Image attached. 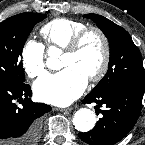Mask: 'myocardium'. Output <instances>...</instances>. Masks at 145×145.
<instances>
[{"label":"myocardium","instance_id":"obj_1","mask_svg":"<svg viewBox=\"0 0 145 145\" xmlns=\"http://www.w3.org/2000/svg\"><path fill=\"white\" fill-rule=\"evenodd\" d=\"M91 33L96 34L100 38L103 47V56H102L101 65L98 71L94 75L88 78L90 82L96 83L102 80L106 75L111 60V48H110L109 39L99 27L87 26L81 29L71 38L67 46L64 48V52L66 53L76 52L81 46L83 40Z\"/></svg>","mask_w":145,"mask_h":145}]
</instances>
